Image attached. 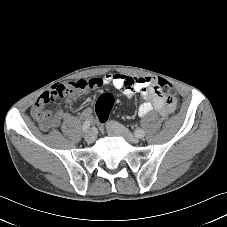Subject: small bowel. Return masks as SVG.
Listing matches in <instances>:
<instances>
[{
    "mask_svg": "<svg viewBox=\"0 0 227 227\" xmlns=\"http://www.w3.org/2000/svg\"><path fill=\"white\" fill-rule=\"evenodd\" d=\"M153 77H131L124 74H107L104 77H96L90 80H78L54 85L50 91L43 93L34 103L31 114L42 130L57 127L62 120L68 117L63 110L51 112L45 110V105L56 98H64L67 106L71 105L79 96L87 93L89 89L99 88L103 85H112L120 90L127 98L139 94L143 103L139 106L138 114L145 116L155 110L161 115L176 116L180 112V105L173 95L164 94L159 81ZM91 109L85 108L81 116L89 119Z\"/></svg>",
    "mask_w": 227,
    "mask_h": 227,
    "instance_id": "small-bowel-1",
    "label": "small bowel"
}]
</instances>
